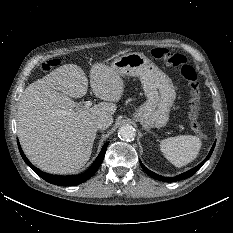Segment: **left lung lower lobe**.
<instances>
[{"mask_svg": "<svg viewBox=\"0 0 233 233\" xmlns=\"http://www.w3.org/2000/svg\"><path fill=\"white\" fill-rule=\"evenodd\" d=\"M216 143V142H215ZM215 143L214 145L212 146L208 156L196 167H194L193 169L181 174V175H178V176H175V177H172V178H165V177H162L158 174H155L154 172L148 170L140 161V164H141V167L143 168V170L151 177H153L154 179H157V180H161V181H166V182H174V181H178V180H182V179H186V178H189L190 176H192L195 172H197L201 166L210 158L213 150H214V147H215Z\"/></svg>", "mask_w": 233, "mask_h": 233, "instance_id": "left-lung-lower-lobe-1", "label": "left lung lower lobe"}]
</instances>
